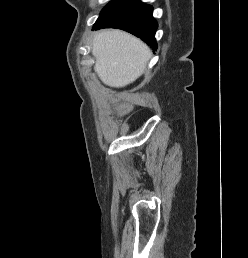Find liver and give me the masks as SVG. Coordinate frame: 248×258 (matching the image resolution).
Returning a JSON list of instances; mask_svg holds the SVG:
<instances>
[{"label":"liver","instance_id":"1","mask_svg":"<svg viewBox=\"0 0 248 258\" xmlns=\"http://www.w3.org/2000/svg\"><path fill=\"white\" fill-rule=\"evenodd\" d=\"M94 70L101 81L121 88L133 83L146 69L151 50L140 39L120 30H102L94 35Z\"/></svg>","mask_w":248,"mask_h":258}]
</instances>
